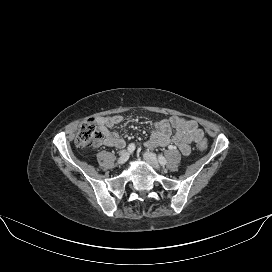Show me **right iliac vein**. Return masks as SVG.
Returning <instances> with one entry per match:
<instances>
[{
    "label": "right iliac vein",
    "mask_w": 272,
    "mask_h": 272,
    "mask_svg": "<svg viewBox=\"0 0 272 272\" xmlns=\"http://www.w3.org/2000/svg\"><path fill=\"white\" fill-rule=\"evenodd\" d=\"M129 155H130V154H129L128 151H125V150L121 151L120 157L118 158L117 163H118L119 165L125 164L126 161L129 159Z\"/></svg>",
    "instance_id": "1"
}]
</instances>
